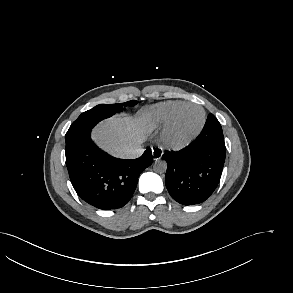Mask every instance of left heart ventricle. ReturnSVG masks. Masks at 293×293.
I'll list each match as a JSON object with an SVG mask.
<instances>
[{"label": "left heart ventricle", "instance_id": "obj_1", "mask_svg": "<svg viewBox=\"0 0 293 293\" xmlns=\"http://www.w3.org/2000/svg\"><path fill=\"white\" fill-rule=\"evenodd\" d=\"M202 120V112L197 107H186L178 115L172 136L176 141H184L189 138L199 127Z\"/></svg>", "mask_w": 293, "mask_h": 293}]
</instances>
